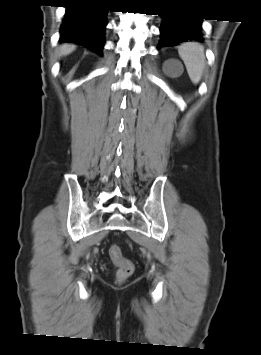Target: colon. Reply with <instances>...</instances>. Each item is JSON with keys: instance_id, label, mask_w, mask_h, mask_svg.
<instances>
[{"instance_id": "5ec220e1", "label": "colon", "mask_w": 261, "mask_h": 355, "mask_svg": "<svg viewBox=\"0 0 261 355\" xmlns=\"http://www.w3.org/2000/svg\"><path fill=\"white\" fill-rule=\"evenodd\" d=\"M109 256L111 261L118 267L116 277L119 281H124L134 272L133 263L123 256L118 245L112 244L110 246Z\"/></svg>"}]
</instances>
